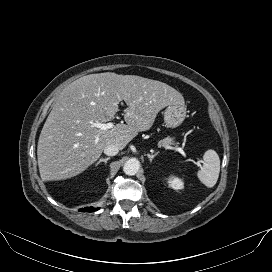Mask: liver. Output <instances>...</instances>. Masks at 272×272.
I'll return each instance as SVG.
<instances>
[{
  "mask_svg": "<svg viewBox=\"0 0 272 272\" xmlns=\"http://www.w3.org/2000/svg\"><path fill=\"white\" fill-rule=\"evenodd\" d=\"M122 100L128 106L124 110L126 124L102 131L92 125L113 119ZM170 104H184L183 96L157 80L113 72L75 80L59 95L39 136L37 158L42 180L80 174L108 144L124 149L139 132L149 130L159 111Z\"/></svg>",
  "mask_w": 272,
  "mask_h": 272,
  "instance_id": "liver-1",
  "label": "liver"
}]
</instances>
